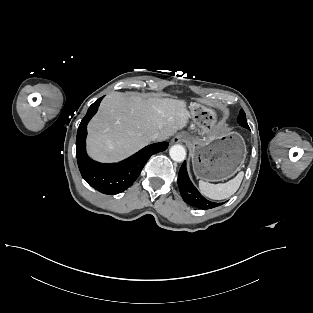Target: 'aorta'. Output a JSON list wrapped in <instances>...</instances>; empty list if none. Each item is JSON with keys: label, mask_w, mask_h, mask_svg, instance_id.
Segmentation results:
<instances>
[{"label": "aorta", "mask_w": 313, "mask_h": 313, "mask_svg": "<svg viewBox=\"0 0 313 313\" xmlns=\"http://www.w3.org/2000/svg\"><path fill=\"white\" fill-rule=\"evenodd\" d=\"M170 157L175 162H182L186 157V150L182 145H173L169 150Z\"/></svg>", "instance_id": "1"}]
</instances>
